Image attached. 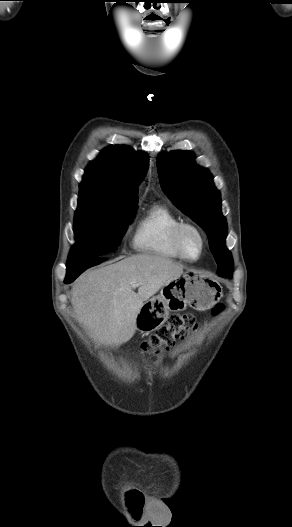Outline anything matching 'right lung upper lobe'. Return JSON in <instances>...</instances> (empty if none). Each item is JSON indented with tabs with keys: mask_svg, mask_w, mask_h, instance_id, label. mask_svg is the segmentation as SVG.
<instances>
[{
	"mask_svg": "<svg viewBox=\"0 0 292 527\" xmlns=\"http://www.w3.org/2000/svg\"><path fill=\"white\" fill-rule=\"evenodd\" d=\"M148 167L146 153L125 145L109 146L87 166L80 193H93L112 202L138 201V186Z\"/></svg>",
	"mask_w": 292,
	"mask_h": 527,
	"instance_id": "1",
	"label": "right lung upper lobe"
}]
</instances>
